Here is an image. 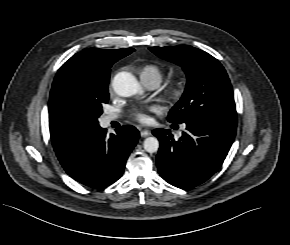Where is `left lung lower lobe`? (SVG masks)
<instances>
[{
	"label": "left lung lower lobe",
	"mask_w": 290,
	"mask_h": 245,
	"mask_svg": "<svg viewBox=\"0 0 290 245\" xmlns=\"http://www.w3.org/2000/svg\"><path fill=\"white\" fill-rule=\"evenodd\" d=\"M186 132L175 141L170 130L155 129L159 139L158 172L168 183L191 189L210 178L222 165L234 141L236 129L203 117L184 122Z\"/></svg>",
	"instance_id": "1"
}]
</instances>
